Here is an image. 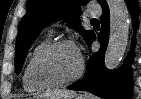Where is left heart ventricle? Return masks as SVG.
<instances>
[{"mask_svg": "<svg viewBox=\"0 0 141 99\" xmlns=\"http://www.w3.org/2000/svg\"><path fill=\"white\" fill-rule=\"evenodd\" d=\"M80 59L74 47L64 46L49 53L39 64V74L45 79L61 81L72 77Z\"/></svg>", "mask_w": 141, "mask_h": 99, "instance_id": "left-heart-ventricle-1", "label": "left heart ventricle"}]
</instances>
